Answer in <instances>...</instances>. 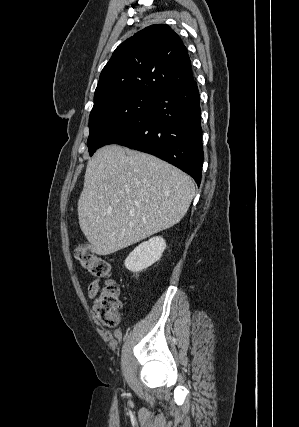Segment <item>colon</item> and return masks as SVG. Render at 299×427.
<instances>
[{"instance_id": "colon-1", "label": "colon", "mask_w": 299, "mask_h": 427, "mask_svg": "<svg viewBox=\"0 0 299 427\" xmlns=\"http://www.w3.org/2000/svg\"><path fill=\"white\" fill-rule=\"evenodd\" d=\"M74 257L94 277L104 278L109 275V263L95 255L87 245L76 246ZM121 309L119 286L116 282L109 280L100 290L99 296L94 302L93 315L104 326L112 328L118 324Z\"/></svg>"}]
</instances>
